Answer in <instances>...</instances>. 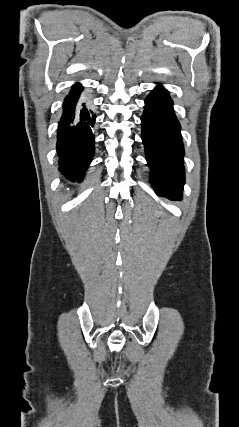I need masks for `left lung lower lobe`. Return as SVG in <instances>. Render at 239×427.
I'll list each match as a JSON object with an SVG mask.
<instances>
[{
  "label": "left lung lower lobe",
  "instance_id": "left-lung-lower-lobe-1",
  "mask_svg": "<svg viewBox=\"0 0 239 427\" xmlns=\"http://www.w3.org/2000/svg\"><path fill=\"white\" fill-rule=\"evenodd\" d=\"M141 125L146 159L151 168L150 182L155 192L179 200L184 185V148L173 102L162 86L146 98Z\"/></svg>",
  "mask_w": 239,
  "mask_h": 427
}]
</instances>
